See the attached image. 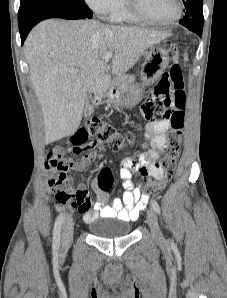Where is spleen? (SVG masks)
I'll use <instances>...</instances> for the list:
<instances>
[{"instance_id": "3e777b00", "label": "spleen", "mask_w": 227, "mask_h": 298, "mask_svg": "<svg viewBox=\"0 0 227 298\" xmlns=\"http://www.w3.org/2000/svg\"><path fill=\"white\" fill-rule=\"evenodd\" d=\"M184 58H185L186 61L188 60V57H187V54L186 53L184 55Z\"/></svg>"}]
</instances>
